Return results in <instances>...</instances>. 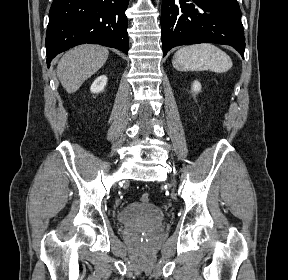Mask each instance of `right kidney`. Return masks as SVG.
Here are the masks:
<instances>
[{
	"label": "right kidney",
	"mask_w": 288,
	"mask_h": 280,
	"mask_svg": "<svg viewBox=\"0 0 288 280\" xmlns=\"http://www.w3.org/2000/svg\"><path fill=\"white\" fill-rule=\"evenodd\" d=\"M106 84H107V77L105 75H102L94 80L90 90L92 93H99L104 90Z\"/></svg>",
	"instance_id": "ca27d5eb"
}]
</instances>
